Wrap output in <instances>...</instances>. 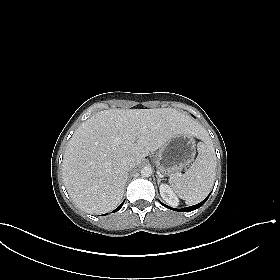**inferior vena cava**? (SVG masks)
<instances>
[{"label":"inferior vena cava","mask_w":280,"mask_h":280,"mask_svg":"<svg viewBox=\"0 0 280 280\" xmlns=\"http://www.w3.org/2000/svg\"><path fill=\"white\" fill-rule=\"evenodd\" d=\"M122 164L126 171H129L136 166L135 159L132 156L125 157Z\"/></svg>","instance_id":"inferior-vena-cava-1"}]
</instances>
